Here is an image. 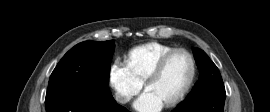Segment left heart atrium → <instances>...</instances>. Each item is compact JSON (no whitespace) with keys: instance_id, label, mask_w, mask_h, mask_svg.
I'll return each mask as SVG.
<instances>
[{"instance_id":"left-heart-atrium-1","label":"left heart atrium","mask_w":270,"mask_h":112,"mask_svg":"<svg viewBox=\"0 0 270 112\" xmlns=\"http://www.w3.org/2000/svg\"><path fill=\"white\" fill-rule=\"evenodd\" d=\"M163 107L164 104L148 91L134 102V108L139 112H159Z\"/></svg>"}]
</instances>
